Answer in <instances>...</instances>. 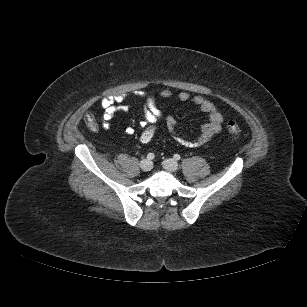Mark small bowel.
Here are the masks:
<instances>
[{"label": "small bowel", "instance_id": "small-bowel-1", "mask_svg": "<svg viewBox=\"0 0 307 307\" xmlns=\"http://www.w3.org/2000/svg\"><path fill=\"white\" fill-rule=\"evenodd\" d=\"M136 96L144 100L142 111L143 119L141 122L142 127L156 124L162 117V113L156 105L155 98L146 92H138ZM159 96L161 98H169L172 96V93L170 90H163L159 93ZM177 97L180 101L183 102L191 100L192 103L195 104L201 112L206 114L208 118V121L202 126L200 135L194 140H188L177 132V122L175 118L168 116L165 120L167 128L172 137L177 142L187 147H201L208 143L216 134L221 131L223 116L211 101L199 95L191 98L190 94L185 91L180 92ZM123 99L124 96H119L117 98L107 97L101 101L100 106L103 111V129L108 130L110 128V122L116 113L127 110V107L116 104ZM90 128L92 130H97L98 127L95 125ZM125 131L128 135H132L135 132L132 126L126 127Z\"/></svg>", "mask_w": 307, "mask_h": 307}]
</instances>
